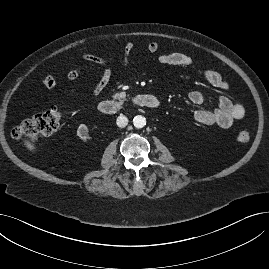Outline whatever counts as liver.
<instances>
[{
	"mask_svg": "<svg viewBox=\"0 0 269 269\" xmlns=\"http://www.w3.org/2000/svg\"><path fill=\"white\" fill-rule=\"evenodd\" d=\"M24 145L29 151L36 152V147L33 143H31L29 140H23Z\"/></svg>",
	"mask_w": 269,
	"mask_h": 269,
	"instance_id": "obj_1",
	"label": "liver"
}]
</instances>
